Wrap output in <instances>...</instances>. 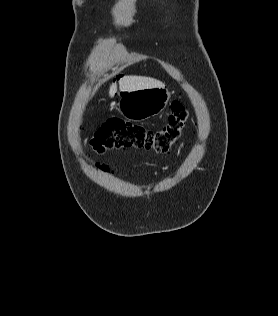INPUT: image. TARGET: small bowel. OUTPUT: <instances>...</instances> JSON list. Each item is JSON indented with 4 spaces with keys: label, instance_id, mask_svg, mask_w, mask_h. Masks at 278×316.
I'll return each instance as SVG.
<instances>
[{
    "label": "small bowel",
    "instance_id": "1",
    "mask_svg": "<svg viewBox=\"0 0 278 316\" xmlns=\"http://www.w3.org/2000/svg\"><path fill=\"white\" fill-rule=\"evenodd\" d=\"M100 169L105 171L106 170V166H101Z\"/></svg>",
    "mask_w": 278,
    "mask_h": 316
}]
</instances>
